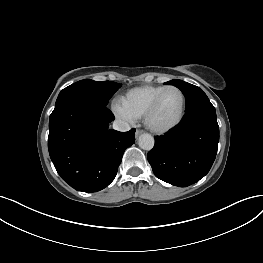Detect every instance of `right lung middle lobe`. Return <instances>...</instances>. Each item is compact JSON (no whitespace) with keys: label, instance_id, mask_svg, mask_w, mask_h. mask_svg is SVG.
<instances>
[{"label":"right lung middle lobe","instance_id":"obj_1","mask_svg":"<svg viewBox=\"0 0 263 263\" xmlns=\"http://www.w3.org/2000/svg\"><path fill=\"white\" fill-rule=\"evenodd\" d=\"M121 87L113 81L97 82L84 79L63 89L55 104V109L68 102H86L106 106L108 100Z\"/></svg>","mask_w":263,"mask_h":263}]
</instances>
